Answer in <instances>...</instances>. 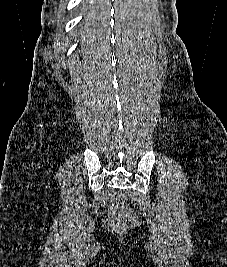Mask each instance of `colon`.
Listing matches in <instances>:
<instances>
[{"mask_svg":"<svg viewBox=\"0 0 227 267\" xmlns=\"http://www.w3.org/2000/svg\"><path fill=\"white\" fill-rule=\"evenodd\" d=\"M108 223L114 231L118 232L126 231L137 223L135 212L126 205V200L121 194L113 196Z\"/></svg>","mask_w":227,"mask_h":267,"instance_id":"obj_1","label":"colon"}]
</instances>
